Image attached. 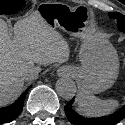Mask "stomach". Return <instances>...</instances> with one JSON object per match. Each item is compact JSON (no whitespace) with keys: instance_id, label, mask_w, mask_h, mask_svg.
Returning a JSON list of instances; mask_svg holds the SVG:
<instances>
[{"instance_id":"0dacf381","label":"stomach","mask_w":125,"mask_h":125,"mask_svg":"<svg viewBox=\"0 0 125 125\" xmlns=\"http://www.w3.org/2000/svg\"><path fill=\"white\" fill-rule=\"evenodd\" d=\"M40 6L38 12L54 29H61L82 40L79 57L82 66L74 68L80 90L97 94L109 89L119 72V59L115 48L103 35L94 31L89 11L84 7Z\"/></svg>"}]
</instances>
